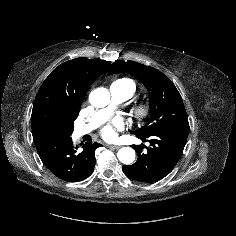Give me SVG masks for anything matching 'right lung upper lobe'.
<instances>
[{"mask_svg": "<svg viewBox=\"0 0 236 236\" xmlns=\"http://www.w3.org/2000/svg\"><path fill=\"white\" fill-rule=\"evenodd\" d=\"M110 61L84 57L56 67L41 85L31 115L32 135L62 137L73 126L90 85Z\"/></svg>", "mask_w": 236, "mask_h": 236, "instance_id": "cb5924a9", "label": "right lung upper lobe"}]
</instances>
